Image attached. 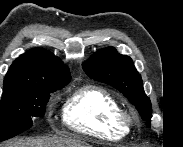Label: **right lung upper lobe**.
Returning a JSON list of instances; mask_svg holds the SVG:
<instances>
[{"label":"right lung upper lobe","mask_w":183,"mask_h":147,"mask_svg":"<svg viewBox=\"0 0 183 147\" xmlns=\"http://www.w3.org/2000/svg\"><path fill=\"white\" fill-rule=\"evenodd\" d=\"M66 65L44 49H31L17 58L4 78L5 87L43 85L63 87L70 81Z\"/></svg>","instance_id":"1"}]
</instances>
